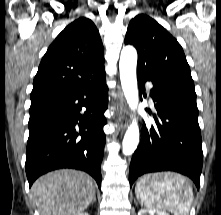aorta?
I'll use <instances>...</instances> for the list:
<instances>
[{"instance_id":"aorta-1","label":"aorta","mask_w":221,"mask_h":215,"mask_svg":"<svg viewBox=\"0 0 221 215\" xmlns=\"http://www.w3.org/2000/svg\"><path fill=\"white\" fill-rule=\"evenodd\" d=\"M137 51L132 46L123 47L120 56L119 69L121 86L129 107L135 110L138 106L139 96L136 77ZM139 143V127L136 119L128 127L122 142L124 155H131Z\"/></svg>"}]
</instances>
